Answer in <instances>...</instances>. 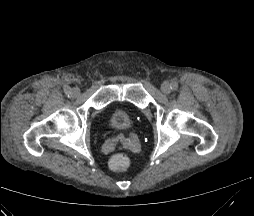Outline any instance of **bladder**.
<instances>
[{"label": "bladder", "mask_w": 254, "mask_h": 216, "mask_svg": "<svg viewBox=\"0 0 254 216\" xmlns=\"http://www.w3.org/2000/svg\"><path fill=\"white\" fill-rule=\"evenodd\" d=\"M134 113L121 108H114L110 113V124L118 131L127 130L134 119Z\"/></svg>", "instance_id": "1"}]
</instances>
